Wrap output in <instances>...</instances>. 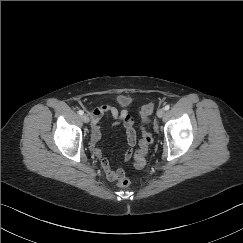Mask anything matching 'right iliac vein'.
I'll use <instances>...</instances> for the list:
<instances>
[{"label":"right iliac vein","mask_w":243,"mask_h":243,"mask_svg":"<svg viewBox=\"0 0 243 243\" xmlns=\"http://www.w3.org/2000/svg\"><path fill=\"white\" fill-rule=\"evenodd\" d=\"M82 120H83V122L88 123V122H89V117H88V115H87V114H84V115L82 116Z\"/></svg>","instance_id":"right-iliac-vein-1"}]
</instances>
